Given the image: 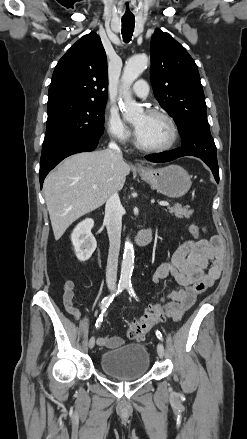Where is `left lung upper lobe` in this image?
<instances>
[{
	"mask_svg": "<svg viewBox=\"0 0 247 439\" xmlns=\"http://www.w3.org/2000/svg\"><path fill=\"white\" fill-rule=\"evenodd\" d=\"M150 51L154 95L178 126L181 150L219 170L197 65L180 43L160 29L151 38Z\"/></svg>",
	"mask_w": 247,
	"mask_h": 439,
	"instance_id": "5c2ea615",
	"label": "left lung upper lobe"
}]
</instances>
